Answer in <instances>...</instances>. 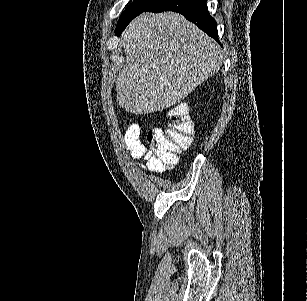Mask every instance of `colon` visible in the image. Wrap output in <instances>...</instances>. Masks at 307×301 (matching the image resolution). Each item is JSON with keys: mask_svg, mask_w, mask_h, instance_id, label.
<instances>
[{"mask_svg": "<svg viewBox=\"0 0 307 301\" xmlns=\"http://www.w3.org/2000/svg\"><path fill=\"white\" fill-rule=\"evenodd\" d=\"M168 126L153 129L148 133L147 142L151 151L167 168L174 167L178 154L187 149L193 141L194 125L185 103H179L167 111Z\"/></svg>", "mask_w": 307, "mask_h": 301, "instance_id": "colon-1", "label": "colon"}]
</instances>
